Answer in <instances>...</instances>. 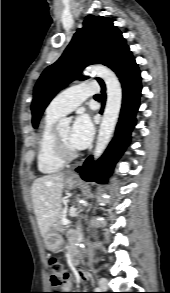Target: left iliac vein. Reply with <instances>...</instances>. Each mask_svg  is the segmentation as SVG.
<instances>
[{"label": "left iliac vein", "mask_w": 170, "mask_h": 293, "mask_svg": "<svg viewBox=\"0 0 170 293\" xmlns=\"http://www.w3.org/2000/svg\"><path fill=\"white\" fill-rule=\"evenodd\" d=\"M99 285L101 289L106 290L108 288V280L105 278H101L99 280Z\"/></svg>", "instance_id": "4c4485c4"}]
</instances>
